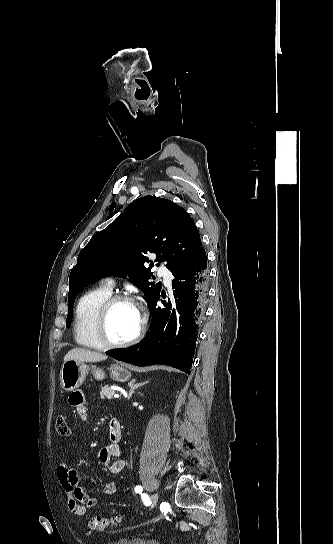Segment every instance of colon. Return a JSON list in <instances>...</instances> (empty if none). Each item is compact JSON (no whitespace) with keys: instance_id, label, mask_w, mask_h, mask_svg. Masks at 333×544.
<instances>
[{"instance_id":"colon-1","label":"colon","mask_w":333,"mask_h":544,"mask_svg":"<svg viewBox=\"0 0 333 544\" xmlns=\"http://www.w3.org/2000/svg\"><path fill=\"white\" fill-rule=\"evenodd\" d=\"M56 432L61 436H69L71 434V429L68 425V422L64 416H58L55 422ZM121 522V516L115 515L112 518H107L104 516H95L89 523V529L92 532H101L109 528L116 527Z\"/></svg>"}]
</instances>
